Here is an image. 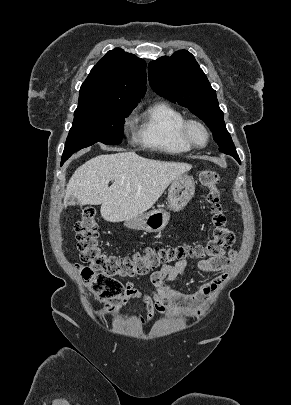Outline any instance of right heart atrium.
I'll return each mask as SVG.
<instances>
[{"instance_id": "obj_1", "label": "right heart atrium", "mask_w": 291, "mask_h": 405, "mask_svg": "<svg viewBox=\"0 0 291 405\" xmlns=\"http://www.w3.org/2000/svg\"><path fill=\"white\" fill-rule=\"evenodd\" d=\"M129 122H130V118L128 117V118L125 119V124L128 125Z\"/></svg>"}]
</instances>
